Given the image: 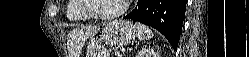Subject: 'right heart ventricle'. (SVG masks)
<instances>
[{
	"instance_id": "right-heart-ventricle-1",
	"label": "right heart ventricle",
	"mask_w": 249,
	"mask_h": 57,
	"mask_svg": "<svg viewBox=\"0 0 249 57\" xmlns=\"http://www.w3.org/2000/svg\"><path fill=\"white\" fill-rule=\"evenodd\" d=\"M80 0H69L66 9V17L70 21L87 20L88 17L79 8Z\"/></svg>"
}]
</instances>
